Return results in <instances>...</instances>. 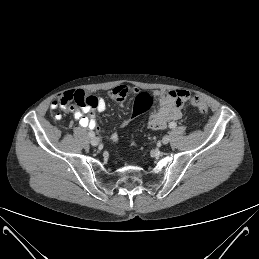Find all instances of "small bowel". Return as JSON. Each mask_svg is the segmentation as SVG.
<instances>
[{
	"instance_id": "obj_1",
	"label": "small bowel",
	"mask_w": 259,
	"mask_h": 259,
	"mask_svg": "<svg viewBox=\"0 0 259 259\" xmlns=\"http://www.w3.org/2000/svg\"><path fill=\"white\" fill-rule=\"evenodd\" d=\"M137 91L134 87L118 85L111 90L110 97L122 105L129 94L136 93ZM156 96L159 100V108L150 114L147 126L152 130H161L165 129L170 122L181 118L189 93L181 89L157 91ZM73 101L76 105L69 106L67 110L73 114L74 119L82 127L96 129L97 120L93 112L105 111L107 107L105 99L93 95L86 96L83 90H75L61 94L53 102L52 106L57 107L59 105L62 108H66ZM86 113L90 115L85 116ZM116 138L117 135L113 134L112 139L115 140Z\"/></svg>"
}]
</instances>
